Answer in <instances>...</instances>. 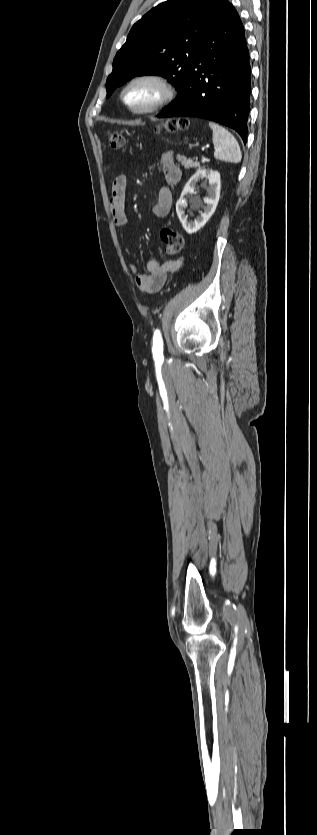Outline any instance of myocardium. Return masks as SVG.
Wrapping results in <instances>:
<instances>
[{
    "label": "myocardium",
    "mask_w": 317,
    "mask_h": 835,
    "mask_svg": "<svg viewBox=\"0 0 317 835\" xmlns=\"http://www.w3.org/2000/svg\"><path fill=\"white\" fill-rule=\"evenodd\" d=\"M148 84L152 86L156 92V97L147 105L143 107H136L130 104L126 99L127 91L136 84ZM120 100L122 104L131 112L138 115H145L154 113L167 105L175 96V88L169 80L158 74H140L128 80L120 91Z\"/></svg>",
    "instance_id": "f54148a6"
}]
</instances>
